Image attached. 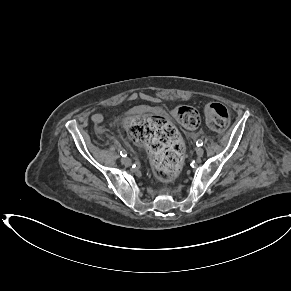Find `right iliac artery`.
Segmentation results:
<instances>
[{"instance_id": "obj_1", "label": "right iliac artery", "mask_w": 291, "mask_h": 291, "mask_svg": "<svg viewBox=\"0 0 291 291\" xmlns=\"http://www.w3.org/2000/svg\"><path fill=\"white\" fill-rule=\"evenodd\" d=\"M120 155L122 157H126L127 156V152L125 150L120 151Z\"/></svg>"}]
</instances>
